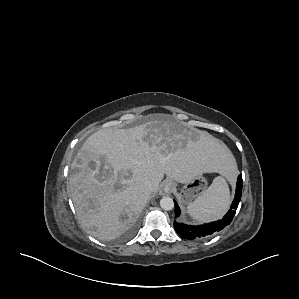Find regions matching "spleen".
I'll use <instances>...</instances> for the list:
<instances>
[{
  "instance_id": "obj_1",
  "label": "spleen",
  "mask_w": 299,
  "mask_h": 299,
  "mask_svg": "<svg viewBox=\"0 0 299 299\" xmlns=\"http://www.w3.org/2000/svg\"><path fill=\"white\" fill-rule=\"evenodd\" d=\"M230 192L224 177H216L212 184L193 202L187 211L189 215L201 222L220 219L228 210Z\"/></svg>"
}]
</instances>
